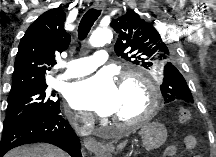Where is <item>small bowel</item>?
I'll list each match as a JSON object with an SVG mask.
<instances>
[{
  "mask_svg": "<svg viewBox=\"0 0 216 157\" xmlns=\"http://www.w3.org/2000/svg\"><path fill=\"white\" fill-rule=\"evenodd\" d=\"M197 141L193 136H187L184 139L185 151L187 154L192 153L196 149ZM176 147L174 145L168 146L164 151L165 157H171L176 154Z\"/></svg>",
  "mask_w": 216,
  "mask_h": 157,
  "instance_id": "small-bowel-1",
  "label": "small bowel"
}]
</instances>
